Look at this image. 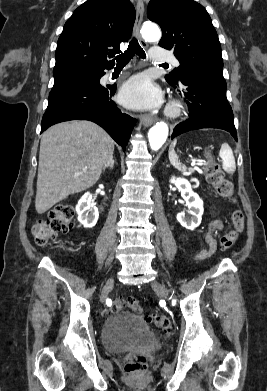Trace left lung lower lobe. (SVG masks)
Masks as SVG:
<instances>
[{
    "label": "left lung lower lobe",
    "mask_w": 267,
    "mask_h": 391,
    "mask_svg": "<svg viewBox=\"0 0 267 391\" xmlns=\"http://www.w3.org/2000/svg\"><path fill=\"white\" fill-rule=\"evenodd\" d=\"M188 99L189 119L178 124L174 137L200 128H219L230 132L237 141L234 117L226 98V82L223 77L196 73L184 77L179 85H172Z\"/></svg>",
    "instance_id": "left-lung-lower-lobe-1"
}]
</instances>
